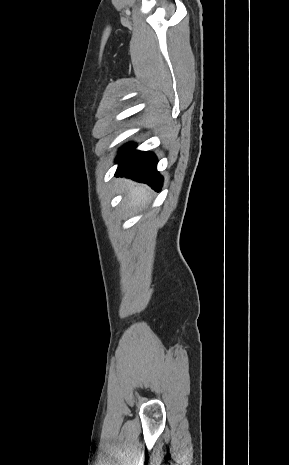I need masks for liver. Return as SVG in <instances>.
Wrapping results in <instances>:
<instances>
[{
    "label": "liver",
    "mask_w": 289,
    "mask_h": 465,
    "mask_svg": "<svg viewBox=\"0 0 289 465\" xmlns=\"http://www.w3.org/2000/svg\"><path fill=\"white\" fill-rule=\"evenodd\" d=\"M125 191L130 198V206L142 205L145 207L149 202V188L147 186L125 181Z\"/></svg>",
    "instance_id": "obj_1"
}]
</instances>
